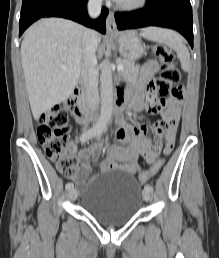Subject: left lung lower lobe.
Returning a JSON list of instances; mask_svg holds the SVG:
<instances>
[{
	"label": "left lung lower lobe",
	"instance_id": "left-lung-lower-lobe-1",
	"mask_svg": "<svg viewBox=\"0 0 219 258\" xmlns=\"http://www.w3.org/2000/svg\"><path fill=\"white\" fill-rule=\"evenodd\" d=\"M119 30L160 26L180 32L193 48V18L190 0H148L133 12L115 13Z\"/></svg>",
	"mask_w": 219,
	"mask_h": 258
}]
</instances>
